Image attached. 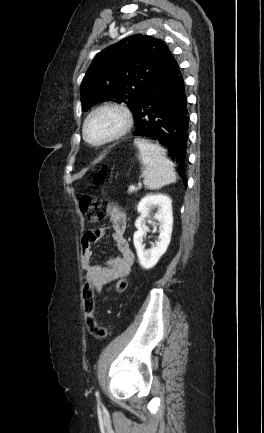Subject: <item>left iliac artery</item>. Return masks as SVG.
Wrapping results in <instances>:
<instances>
[{
	"label": "left iliac artery",
	"mask_w": 264,
	"mask_h": 433,
	"mask_svg": "<svg viewBox=\"0 0 264 433\" xmlns=\"http://www.w3.org/2000/svg\"><path fill=\"white\" fill-rule=\"evenodd\" d=\"M96 396L99 398V392H96Z\"/></svg>",
	"instance_id": "1"
}]
</instances>
